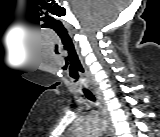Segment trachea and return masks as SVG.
Listing matches in <instances>:
<instances>
[{
	"label": "trachea",
	"mask_w": 160,
	"mask_h": 137,
	"mask_svg": "<svg viewBox=\"0 0 160 137\" xmlns=\"http://www.w3.org/2000/svg\"><path fill=\"white\" fill-rule=\"evenodd\" d=\"M68 49H69L71 55L73 56V59L70 61L71 62L70 69H72L74 73L71 75V77L76 82V81H79V79H80V75L78 74V71L83 72V69H82V66L80 64L78 57L76 56L74 47L68 46ZM84 94H85L86 98H88L89 100L95 101V98L90 91L84 90Z\"/></svg>",
	"instance_id": "trachea-1"
}]
</instances>
